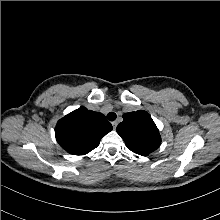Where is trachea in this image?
Segmentation results:
<instances>
[{"label": "trachea", "mask_w": 220, "mask_h": 220, "mask_svg": "<svg viewBox=\"0 0 220 220\" xmlns=\"http://www.w3.org/2000/svg\"><path fill=\"white\" fill-rule=\"evenodd\" d=\"M116 117H117V115L114 112H110V113L107 114V119L109 121H114L116 119Z\"/></svg>", "instance_id": "1"}]
</instances>
